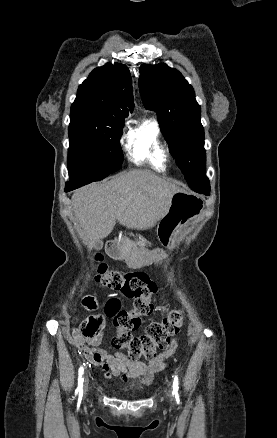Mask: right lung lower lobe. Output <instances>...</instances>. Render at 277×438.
<instances>
[{
	"mask_svg": "<svg viewBox=\"0 0 277 438\" xmlns=\"http://www.w3.org/2000/svg\"><path fill=\"white\" fill-rule=\"evenodd\" d=\"M76 188H79V187H77V186H67L66 185L65 191L68 192V191H71V190L76 189Z\"/></svg>",
	"mask_w": 277,
	"mask_h": 438,
	"instance_id": "98d812e1",
	"label": "right lung lower lobe"
}]
</instances>
